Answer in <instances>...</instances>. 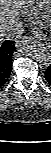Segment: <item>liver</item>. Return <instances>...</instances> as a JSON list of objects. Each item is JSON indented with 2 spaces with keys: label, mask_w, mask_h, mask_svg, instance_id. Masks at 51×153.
Segmentation results:
<instances>
[{
  "label": "liver",
  "mask_w": 51,
  "mask_h": 153,
  "mask_svg": "<svg viewBox=\"0 0 51 153\" xmlns=\"http://www.w3.org/2000/svg\"><path fill=\"white\" fill-rule=\"evenodd\" d=\"M24 5V0H0V32L17 23L19 16L28 12ZM46 19L50 21V11Z\"/></svg>",
  "instance_id": "6515ba94"
}]
</instances>
